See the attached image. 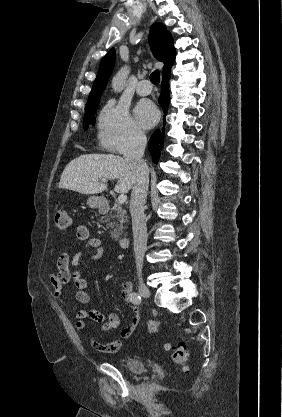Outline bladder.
Segmentation results:
<instances>
[{"mask_svg":"<svg viewBox=\"0 0 282 417\" xmlns=\"http://www.w3.org/2000/svg\"><path fill=\"white\" fill-rule=\"evenodd\" d=\"M120 364L123 368H125L127 371L133 374H142L146 371V364L139 357H125L120 361Z\"/></svg>","mask_w":282,"mask_h":417,"instance_id":"31cf9c89","label":"bladder"}]
</instances>
